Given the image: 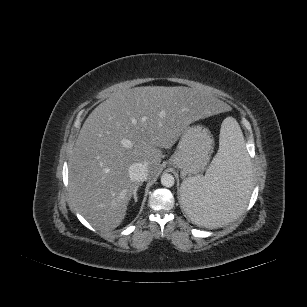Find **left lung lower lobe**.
Returning a JSON list of instances; mask_svg holds the SVG:
<instances>
[{"label": "left lung lower lobe", "mask_w": 307, "mask_h": 307, "mask_svg": "<svg viewBox=\"0 0 307 307\" xmlns=\"http://www.w3.org/2000/svg\"><path fill=\"white\" fill-rule=\"evenodd\" d=\"M233 205L230 204L229 202L223 204V206L219 209V210H215L212 213H217V214H230L231 209H232Z\"/></svg>", "instance_id": "obj_1"}]
</instances>
